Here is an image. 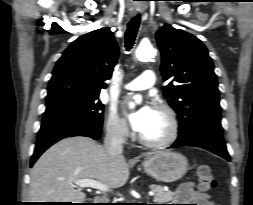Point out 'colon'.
<instances>
[{"mask_svg": "<svg viewBox=\"0 0 253 205\" xmlns=\"http://www.w3.org/2000/svg\"><path fill=\"white\" fill-rule=\"evenodd\" d=\"M198 188L208 191L216 186V178L209 165H201L197 170Z\"/></svg>", "mask_w": 253, "mask_h": 205, "instance_id": "5ec220e1", "label": "colon"}]
</instances>
